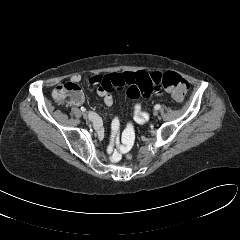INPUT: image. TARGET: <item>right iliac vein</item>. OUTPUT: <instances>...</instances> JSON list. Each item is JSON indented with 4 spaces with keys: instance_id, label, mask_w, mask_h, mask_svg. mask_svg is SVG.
<instances>
[{
    "instance_id": "right-iliac-vein-1",
    "label": "right iliac vein",
    "mask_w": 240,
    "mask_h": 240,
    "mask_svg": "<svg viewBox=\"0 0 240 240\" xmlns=\"http://www.w3.org/2000/svg\"><path fill=\"white\" fill-rule=\"evenodd\" d=\"M83 118L86 119V120L89 118V116L86 112L83 113Z\"/></svg>"
}]
</instances>
